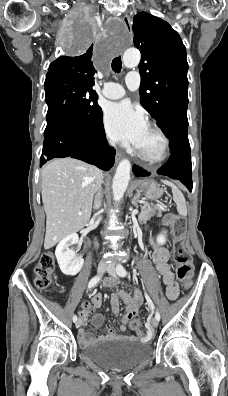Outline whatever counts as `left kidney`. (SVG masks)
I'll use <instances>...</instances> for the list:
<instances>
[{
    "label": "left kidney",
    "instance_id": "5707ae66",
    "mask_svg": "<svg viewBox=\"0 0 228 396\" xmlns=\"http://www.w3.org/2000/svg\"><path fill=\"white\" fill-rule=\"evenodd\" d=\"M165 233H166V232L163 231V233H160V234L157 236V242H158L159 244H161V245L165 244V242H166Z\"/></svg>",
    "mask_w": 228,
    "mask_h": 396
}]
</instances>
